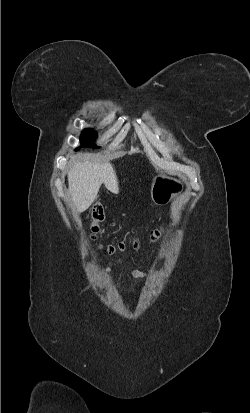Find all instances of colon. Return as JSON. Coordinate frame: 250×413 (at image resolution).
I'll list each match as a JSON object with an SVG mask.
<instances>
[{"label":"colon","instance_id":"1","mask_svg":"<svg viewBox=\"0 0 250 413\" xmlns=\"http://www.w3.org/2000/svg\"><path fill=\"white\" fill-rule=\"evenodd\" d=\"M105 215H104V208L100 203H97L93 206L92 208V222L90 225L91 228V232L93 233V235H96L97 232L99 231V226L100 224L104 221ZM160 235V231L159 230H154L152 232V236L154 238H157ZM119 249H123L124 248V244L120 243L118 245ZM109 251L110 252H114L115 251V247L114 246H110L109 247Z\"/></svg>","mask_w":250,"mask_h":413}]
</instances>
